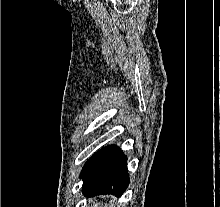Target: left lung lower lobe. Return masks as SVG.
<instances>
[{"mask_svg": "<svg viewBox=\"0 0 220 207\" xmlns=\"http://www.w3.org/2000/svg\"><path fill=\"white\" fill-rule=\"evenodd\" d=\"M126 164L127 157L114 145L96 152L85 163L80 174L84 195L121 196L129 184Z\"/></svg>", "mask_w": 220, "mask_h": 207, "instance_id": "1", "label": "left lung lower lobe"}]
</instances>
